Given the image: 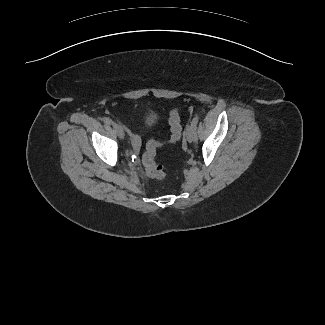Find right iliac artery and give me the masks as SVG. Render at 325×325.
Listing matches in <instances>:
<instances>
[{"label": "right iliac artery", "instance_id": "right-iliac-artery-1", "mask_svg": "<svg viewBox=\"0 0 325 325\" xmlns=\"http://www.w3.org/2000/svg\"><path fill=\"white\" fill-rule=\"evenodd\" d=\"M103 122H104L105 124H107V125H111V124H112L111 119L108 118V117H104V118H103Z\"/></svg>", "mask_w": 325, "mask_h": 325}]
</instances>
